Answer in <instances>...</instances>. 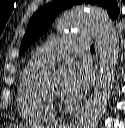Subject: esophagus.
I'll use <instances>...</instances> for the list:
<instances>
[{
    "label": "esophagus",
    "instance_id": "esophagus-1",
    "mask_svg": "<svg viewBox=\"0 0 125 128\" xmlns=\"http://www.w3.org/2000/svg\"><path fill=\"white\" fill-rule=\"evenodd\" d=\"M98 69V53L96 51V56H95V71H97ZM67 126H71V122L70 123H67Z\"/></svg>",
    "mask_w": 125,
    "mask_h": 128
}]
</instances>
